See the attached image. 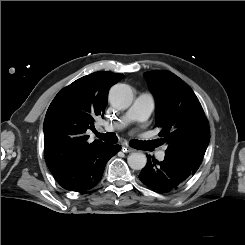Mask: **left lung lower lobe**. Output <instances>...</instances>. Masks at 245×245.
Returning a JSON list of instances; mask_svg holds the SVG:
<instances>
[{
	"label": "left lung lower lobe",
	"mask_w": 245,
	"mask_h": 245,
	"mask_svg": "<svg viewBox=\"0 0 245 245\" xmlns=\"http://www.w3.org/2000/svg\"><path fill=\"white\" fill-rule=\"evenodd\" d=\"M147 157L148 162L141 170L139 179L147 187L162 193L177 189L192 177L201 165V162L166 152L161 162L151 158L150 155Z\"/></svg>",
	"instance_id": "obj_1"
}]
</instances>
